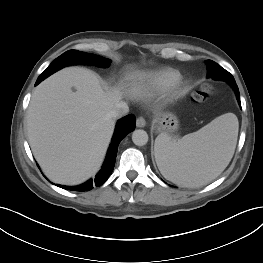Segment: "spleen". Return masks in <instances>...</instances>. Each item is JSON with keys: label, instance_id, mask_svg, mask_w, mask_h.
<instances>
[{"label": "spleen", "instance_id": "obj_1", "mask_svg": "<svg viewBox=\"0 0 263 263\" xmlns=\"http://www.w3.org/2000/svg\"><path fill=\"white\" fill-rule=\"evenodd\" d=\"M235 114H223L180 139L161 133L155 158L161 174L183 187H199L218 177L231 161L238 137Z\"/></svg>", "mask_w": 263, "mask_h": 263}]
</instances>
